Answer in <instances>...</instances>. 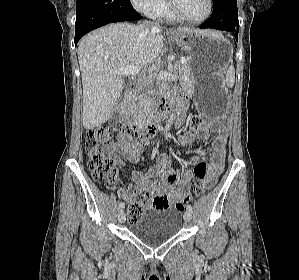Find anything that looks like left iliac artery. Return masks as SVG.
Listing matches in <instances>:
<instances>
[{
    "instance_id": "44dca946",
    "label": "left iliac artery",
    "mask_w": 299,
    "mask_h": 280,
    "mask_svg": "<svg viewBox=\"0 0 299 280\" xmlns=\"http://www.w3.org/2000/svg\"><path fill=\"white\" fill-rule=\"evenodd\" d=\"M187 210H188V211H192V206H191V205H188V206H187Z\"/></svg>"
}]
</instances>
